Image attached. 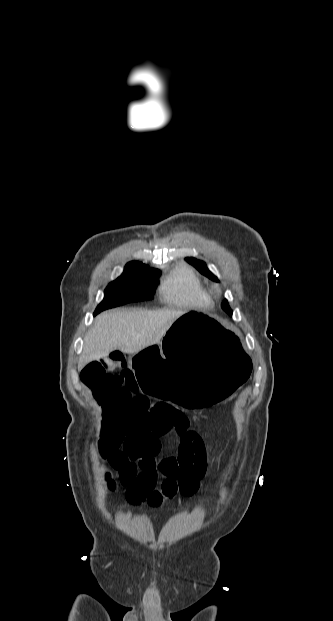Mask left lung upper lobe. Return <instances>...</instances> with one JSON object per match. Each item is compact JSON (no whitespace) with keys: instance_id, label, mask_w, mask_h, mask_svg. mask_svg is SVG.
I'll use <instances>...</instances> for the list:
<instances>
[{"instance_id":"obj_1","label":"left lung upper lobe","mask_w":333,"mask_h":621,"mask_svg":"<svg viewBox=\"0 0 333 621\" xmlns=\"http://www.w3.org/2000/svg\"><path fill=\"white\" fill-rule=\"evenodd\" d=\"M185 260L189 264L194 266L204 276L208 277L209 279L213 281H218L217 277L209 271V269L207 268L206 264L203 261L197 260L192 257H187L185 258ZM223 309L227 314L232 315V310L229 307L227 300L223 301Z\"/></svg>"}]
</instances>
